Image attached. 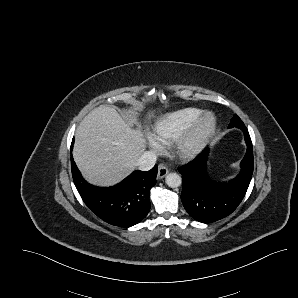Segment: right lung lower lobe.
<instances>
[{"instance_id":"right-lung-lower-lobe-1","label":"right lung lower lobe","mask_w":298,"mask_h":298,"mask_svg":"<svg viewBox=\"0 0 298 298\" xmlns=\"http://www.w3.org/2000/svg\"><path fill=\"white\" fill-rule=\"evenodd\" d=\"M75 186L88 208L103 221L120 227L139 223L150 211V189L156 184L157 165L147 172L131 173L119 184L100 188L88 184L71 156Z\"/></svg>"}]
</instances>
